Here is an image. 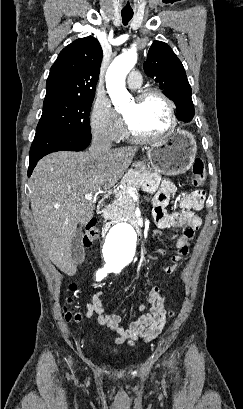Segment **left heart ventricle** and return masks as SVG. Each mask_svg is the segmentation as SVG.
I'll list each match as a JSON object with an SVG mask.
<instances>
[{"instance_id": "1", "label": "left heart ventricle", "mask_w": 243, "mask_h": 409, "mask_svg": "<svg viewBox=\"0 0 243 409\" xmlns=\"http://www.w3.org/2000/svg\"><path fill=\"white\" fill-rule=\"evenodd\" d=\"M123 116L137 134H157L169 125L167 107L157 97H149L142 102L135 99L125 108Z\"/></svg>"}]
</instances>
